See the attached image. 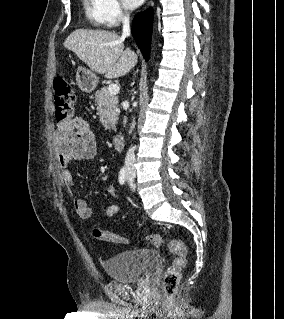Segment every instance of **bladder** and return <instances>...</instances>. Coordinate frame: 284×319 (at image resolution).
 <instances>
[{"instance_id": "bladder-1", "label": "bladder", "mask_w": 284, "mask_h": 319, "mask_svg": "<svg viewBox=\"0 0 284 319\" xmlns=\"http://www.w3.org/2000/svg\"><path fill=\"white\" fill-rule=\"evenodd\" d=\"M160 264V255L155 249L141 248L117 253L104 260L107 275L120 282H138L149 276Z\"/></svg>"}]
</instances>
